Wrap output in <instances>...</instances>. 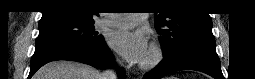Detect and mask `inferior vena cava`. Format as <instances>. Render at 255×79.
Wrapping results in <instances>:
<instances>
[{
	"label": "inferior vena cava",
	"mask_w": 255,
	"mask_h": 79,
	"mask_svg": "<svg viewBox=\"0 0 255 79\" xmlns=\"http://www.w3.org/2000/svg\"><path fill=\"white\" fill-rule=\"evenodd\" d=\"M117 75L114 69H107L102 74L100 79H116Z\"/></svg>",
	"instance_id": "obj_1"
}]
</instances>
